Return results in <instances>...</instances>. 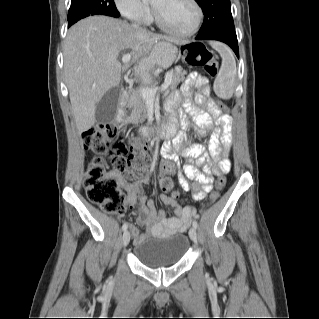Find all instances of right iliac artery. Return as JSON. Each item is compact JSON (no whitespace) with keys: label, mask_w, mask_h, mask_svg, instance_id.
<instances>
[{"label":"right iliac artery","mask_w":319,"mask_h":319,"mask_svg":"<svg viewBox=\"0 0 319 319\" xmlns=\"http://www.w3.org/2000/svg\"><path fill=\"white\" fill-rule=\"evenodd\" d=\"M127 229V224H123L122 230L125 231Z\"/></svg>","instance_id":"obj_1"}]
</instances>
